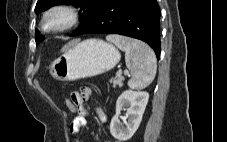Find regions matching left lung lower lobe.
Masks as SVG:
<instances>
[{
  "label": "left lung lower lobe",
  "instance_id": "1",
  "mask_svg": "<svg viewBox=\"0 0 227 142\" xmlns=\"http://www.w3.org/2000/svg\"><path fill=\"white\" fill-rule=\"evenodd\" d=\"M160 8L156 0H107L72 35L120 34L148 43L160 57Z\"/></svg>",
  "mask_w": 227,
  "mask_h": 142
}]
</instances>
